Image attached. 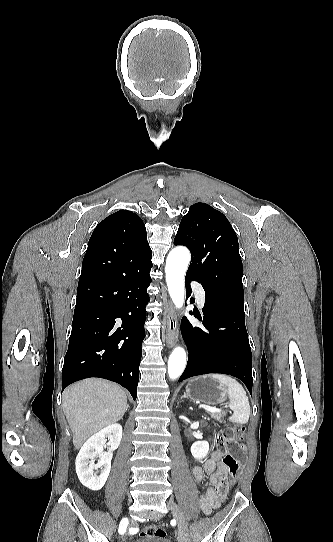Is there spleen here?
Segmentation results:
<instances>
[{
    "label": "spleen",
    "mask_w": 333,
    "mask_h": 542,
    "mask_svg": "<svg viewBox=\"0 0 333 542\" xmlns=\"http://www.w3.org/2000/svg\"><path fill=\"white\" fill-rule=\"evenodd\" d=\"M209 378L219 382L226 390L228 396V408L233 410L232 416L228 418L233 424H247L250 418V404L246 392L234 378L224 376V374H210Z\"/></svg>",
    "instance_id": "spleen-1"
}]
</instances>
